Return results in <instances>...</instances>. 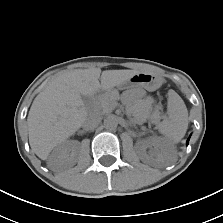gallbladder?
<instances>
[{
    "label": "gallbladder",
    "mask_w": 223,
    "mask_h": 223,
    "mask_svg": "<svg viewBox=\"0 0 223 223\" xmlns=\"http://www.w3.org/2000/svg\"><path fill=\"white\" fill-rule=\"evenodd\" d=\"M82 99H83L84 101H87V100H88L87 96H82Z\"/></svg>",
    "instance_id": "gallbladder-1"
}]
</instances>
